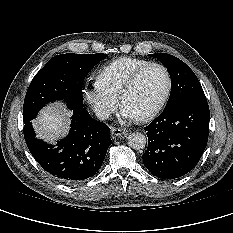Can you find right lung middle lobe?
<instances>
[{
	"label": "right lung middle lobe",
	"mask_w": 233,
	"mask_h": 233,
	"mask_svg": "<svg viewBox=\"0 0 233 233\" xmlns=\"http://www.w3.org/2000/svg\"><path fill=\"white\" fill-rule=\"evenodd\" d=\"M107 55L61 54L50 59L33 78L24 100V123L36 117L47 103L67 102L69 108L83 105L82 84L89 71Z\"/></svg>",
	"instance_id": "right-lung-middle-lobe-1"
}]
</instances>
